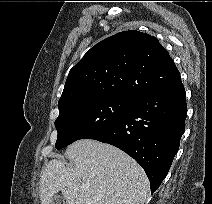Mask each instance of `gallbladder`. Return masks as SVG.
Here are the masks:
<instances>
[{
    "label": "gallbladder",
    "instance_id": "gallbladder-1",
    "mask_svg": "<svg viewBox=\"0 0 212 204\" xmlns=\"http://www.w3.org/2000/svg\"><path fill=\"white\" fill-rule=\"evenodd\" d=\"M51 204H65V201L61 195H55Z\"/></svg>",
    "mask_w": 212,
    "mask_h": 204
}]
</instances>
